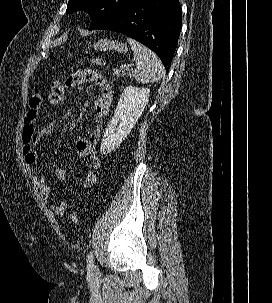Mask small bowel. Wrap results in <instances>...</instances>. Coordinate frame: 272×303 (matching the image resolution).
<instances>
[{"label": "small bowel", "mask_w": 272, "mask_h": 303, "mask_svg": "<svg viewBox=\"0 0 272 303\" xmlns=\"http://www.w3.org/2000/svg\"><path fill=\"white\" fill-rule=\"evenodd\" d=\"M94 82L99 88V95L94 102V113L96 120V128L87 137L78 139L75 142L76 153L81 157L89 159V167L86 170L85 177L81 182L83 189L91 188L97 177V170L100 167L101 161L97 153L96 146L100 139V127L109 113L112 102V89L106 78L99 72L91 69L80 70L74 72L67 80V87L80 86L86 82ZM42 104V96L40 94L33 95L28 103V110L25 115L24 125L22 129V152L24 161L28 167L29 176L34 187L39 192L41 199L45 202L49 201L51 189L46 184V174L39 173L35 168L37 161L36 145L43 137L51 136L54 128L44 126L40 130H36V121L39 116ZM53 176L65 182L67 180L66 171L63 168L55 167ZM67 203L60 201L51 204V211L55 215H63L67 210Z\"/></svg>", "instance_id": "obj_1"}]
</instances>
